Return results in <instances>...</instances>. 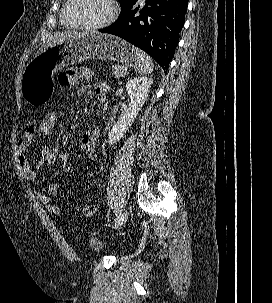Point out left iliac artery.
<instances>
[{
    "label": "left iliac artery",
    "instance_id": "44dca946",
    "mask_svg": "<svg viewBox=\"0 0 272 303\" xmlns=\"http://www.w3.org/2000/svg\"><path fill=\"white\" fill-rule=\"evenodd\" d=\"M114 220H111V225H116V222H119V213H114Z\"/></svg>",
    "mask_w": 272,
    "mask_h": 303
}]
</instances>
